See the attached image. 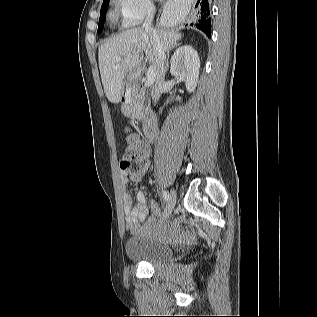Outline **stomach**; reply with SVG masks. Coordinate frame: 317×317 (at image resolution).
Returning <instances> with one entry per match:
<instances>
[{
    "mask_svg": "<svg viewBox=\"0 0 317 317\" xmlns=\"http://www.w3.org/2000/svg\"><path fill=\"white\" fill-rule=\"evenodd\" d=\"M131 73L133 74L132 76H124L123 77V83L122 86L126 90H129L132 88L133 83L138 82V77L134 76V74H143L144 73V68L143 67H132L131 68Z\"/></svg>",
    "mask_w": 317,
    "mask_h": 317,
    "instance_id": "1",
    "label": "stomach"
}]
</instances>
